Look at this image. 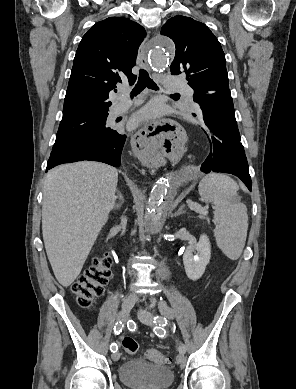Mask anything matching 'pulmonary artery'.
<instances>
[{"label": "pulmonary artery", "mask_w": 296, "mask_h": 389, "mask_svg": "<svg viewBox=\"0 0 296 389\" xmlns=\"http://www.w3.org/2000/svg\"><path fill=\"white\" fill-rule=\"evenodd\" d=\"M165 87L167 90L170 91H182L184 92L187 102L189 105L193 107H199L198 104L194 101L193 98V90L186 85L183 81L176 79L172 76H167L164 81ZM130 101L125 97L124 95L119 99L117 104L113 108L114 114H120L124 111H126L130 106Z\"/></svg>", "instance_id": "obj_1"}]
</instances>
